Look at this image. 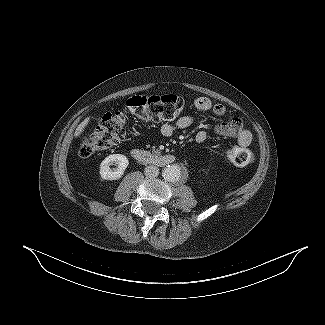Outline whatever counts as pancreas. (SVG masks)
Listing matches in <instances>:
<instances>
[{"mask_svg": "<svg viewBox=\"0 0 325 325\" xmlns=\"http://www.w3.org/2000/svg\"><path fill=\"white\" fill-rule=\"evenodd\" d=\"M152 152H153V154H156V155L160 154V151L157 150L154 146L152 147Z\"/></svg>", "mask_w": 325, "mask_h": 325, "instance_id": "1", "label": "pancreas"}]
</instances>
